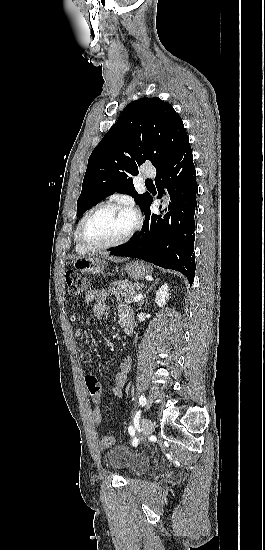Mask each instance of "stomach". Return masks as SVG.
I'll use <instances>...</instances> for the list:
<instances>
[{"instance_id": "obj_1", "label": "stomach", "mask_w": 265, "mask_h": 550, "mask_svg": "<svg viewBox=\"0 0 265 550\" xmlns=\"http://www.w3.org/2000/svg\"><path fill=\"white\" fill-rule=\"evenodd\" d=\"M105 264V260L100 255L79 257L73 261L74 268L83 273L93 275L102 273L105 269ZM125 269L128 276L135 280H139L151 273V268L148 265L138 261L126 264Z\"/></svg>"}]
</instances>
